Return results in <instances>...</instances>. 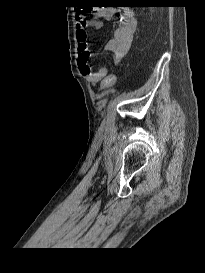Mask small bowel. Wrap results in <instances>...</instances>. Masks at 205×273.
<instances>
[{
    "label": "small bowel",
    "mask_w": 205,
    "mask_h": 273,
    "mask_svg": "<svg viewBox=\"0 0 205 273\" xmlns=\"http://www.w3.org/2000/svg\"><path fill=\"white\" fill-rule=\"evenodd\" d=\"M116 11L113 8H104L93 14L92 19H87L85 14L76 15V39L78 42V67L82 75L92 85H96L102 79L108 76V70L101 68L94 71L89 63L92 48L88 42L87 27H97V19H111ZM118 26L114 30L113 37L107 42L105 49L111 54L112 61L119 64L130 50L135 31L137 29V20L134 14L129 10L118 11Z\"/></svg>",
    "instance_id": "c3829d8e"
}]
</instances>
